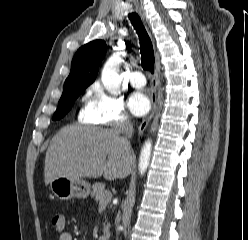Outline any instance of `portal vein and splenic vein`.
<instances>
[{
    "instance_id": "1",
    "label": "portal vein and splenic vein",
    "mask_w": 248,
    "mask_h": 240,
    "mask_svg": "<svg viewBox=\"0 0 248 240\" xmlns=\"http://www.w3.org/2000/svg\"><path fill=\"white\" fill-rule=\"evenodd\" d=\"M108 194H110V192H108ZM101 207H104V204H100Z\"/></svg>"
}]
</instances>
